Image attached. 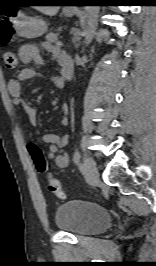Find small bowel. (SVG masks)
Listing matches in <instances>:
<instances>
[{
	"instance_id": "obj_1",
	"label": "small bowel",
	"mask_w": 156,
	"mask_h": 266,
	"mask_svg": "<svg viewBox=\"0 0 156 266\" xmlns=\"http://www.w3.org/2000/svg\"><path fill=\"white\" fill-rule=\"evenodd\" d=\"M19 58L23 63H37L43 64L44 60L41 57L40 51L37 46L33 44H23L18 50ZM55 57L58 58L60 65L66 55L60 54L57 51H53ZM37 76V72L32 68H23L15 77H13L9 84L8 90L13 98V104L23 110L27 115L32 125H37V114L34 108L30 107L23 96L22 83L27 80H31ZM53 82L56 86L61 87L63 82L59 77H54ZM64 116L61 120L63 127L69 125V116L67 106L63 107ZM43 142L50 144L47 157L53 159L58 168H66L69 164V156L65 150V147L69 143V135L64 134L59 136L57 134H45L42 137Z\"/></svg>"
}]
</instances>
